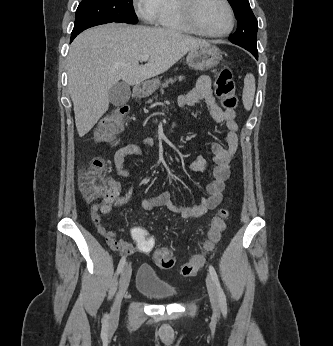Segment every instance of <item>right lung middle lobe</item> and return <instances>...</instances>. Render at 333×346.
<instances>
[{"mask_svg": "<svg viewBox=\"0 0 333 346\" xmlns=\"http://www.w3.org/2000/svg\"><path fill=\"white\" fill-rule=\"evenodd\" d=\"M111 22L136 24L138 19L133 0H82L76 11L71 36H77L87 28Z\"/></svg>", "mask_w": 333, "mask_h": 346, "instance_id": "1", "label": "right lung middle lobe"}]
</instances>
